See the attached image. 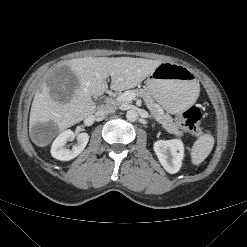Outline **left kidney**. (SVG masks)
<instances>
[{
	"mask_svg": "<svg viewBox=\"0 0 247 247\" xmlns=\"http://www.w3.org/2000/svg\"><path fill=\"white\" fill-rule=\"evenodd\" d=\"M154 151L168 173L174 174L180 170L184 158V145L181 140H159L154 143Z\"/></svg>",
	"mask_w": 247,
	"mask_h": 247,
	"instance_id": "1",
	"label": "left kidney"
}]
</instances>
